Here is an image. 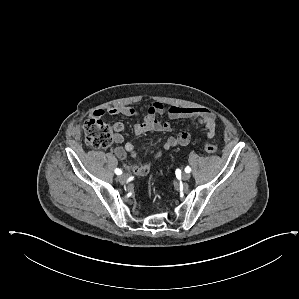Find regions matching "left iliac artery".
<instances>
[{"label":"left iliac artery","mask_w":299,"mask_h":299,"mask_svg":"<svg viewBox=\"0 0 299 299\" xmlns=\"http://www.w3.org/2000/svg\"><path fill=\"white\" fill-rule=\"evenodd\" d=\"M185 172H186V173H190V172H191V168H190L189 166H187V167L185 168Z\"/></svg>","instance_id":"left-iliac-artery-1"}]
</instances>
